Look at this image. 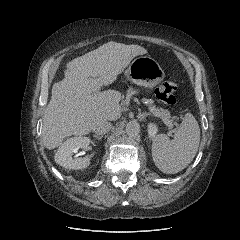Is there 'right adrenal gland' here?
Segmentation results:
<instances>
[{
    "label": "right adrenal gland",
    "mask_w": 240,
    "mask_h": 240,
    "mask_svg": "<svg viewBox=\"0 0 240 240\" xmlns=\"http://www.w3.org/2000/svg\"><path fill=\"white\" fill-rule=\"evenodd\" d=\"M93 137H95L98 140H101L103 138L102 136H97V135H93Z\"/></svg>",
    "instance_id": "2a0ac1e0"
}]
</instances>
